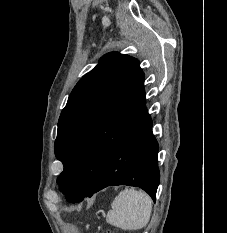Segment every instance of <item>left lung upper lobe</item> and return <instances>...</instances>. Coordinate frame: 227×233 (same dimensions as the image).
<instances>
[{"instance_id": "5c2ea615", "label": "left lung upper lobe", "mask_w": 227, "mask_h": 233, "mask_svg": "<svg viewBox=\"0 0 227 233\" xmlns=\"http://www.w3.org/2000/svg\"><path fill=\"white\" fill-rule=\"evenodd\" d=\"M146 111L144 73L133 57L105 54L80 79L61 112L55 141L64 165L57 183L68 201L95 188L113 149Z\"/></svg>"}]
</instances>
